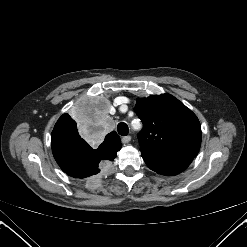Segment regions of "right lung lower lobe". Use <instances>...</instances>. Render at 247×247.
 I'll use <instances>...</instances> for the list:
<instances>
[{
	"mask_svg": "<svg viewBox=\"0 0 247 247\" xmlns=\"http://www.w3.org/2000/svg\"><path fill=\"white\" fill-rule=\"evenodd\" d=\"M51 146L54 158L61 169L74 178L97 174L113 161L117 151L99 146L93 149L78 133L53 130Z\"/></svg>",
	"mask_w": 247,
	"mask_h": 247,
	"instance_id": "right-lung-lower-lobe-1",
	"label": "right lung lower lobe"
}]
</instances>
